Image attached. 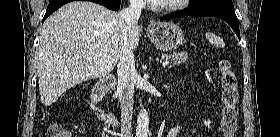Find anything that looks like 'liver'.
<instances>
[{"mask_svg": "<svg viewBox=\"0 0 280 137\" xmlns=\"http://www.w3.org/2000/svg\"><path fill=\"white\" fill-rule=\"evenodd\" d=\"M120 14L89 1L61 7L43 24L37 51L41 102L50 106L81 82L109 75L119 60L124 37ZM136 49L140 29L128 36Z\"/></svg>", "mask_w": 280, "mask_h": 137, "instance_id": "liver-1", "label": "liver"}]
</instances>
